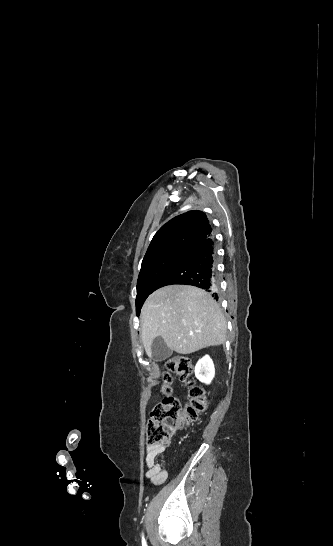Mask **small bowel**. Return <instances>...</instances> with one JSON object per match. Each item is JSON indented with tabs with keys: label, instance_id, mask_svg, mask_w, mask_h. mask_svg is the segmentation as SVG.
<instances>
[{
	"label": "small bowel",
	"instance_id": "c3829d8e",
	"mask_svg": "<svg viewBox=\"0 0 333 546\" xmlns=\"http://www.w3.org/2000/svg\"><path fill=\"white\" fill-rule=\"evenodd\" d=\"M165 454V446L149 445L146 448L145 465L146 478L154 485L163 484L168 477V464L158 461V457Z\"/></svg>",
	"mask_w": 333,
	"mask_h": 546
}]
</instances>
